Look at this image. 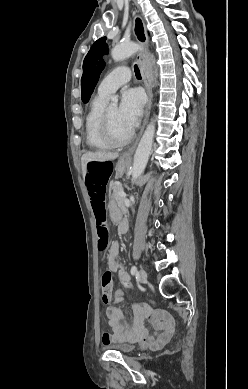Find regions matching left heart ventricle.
<instances>
[{
  "mask_svg": "<svg viewBox=\"0 0 248 389\" xmlns=\"http://www.w3.org/2000/svg\"><path fill=\"white\" fill-rule=\"evenodd\" d=\"M108 112L111 119L112 128L116 136L120 138L125 137L130 132V129H128L127 126L122 122L119 116V108L117 106L109 107Z\"/></svg>",
  "mask_w": 248,
  "mask_h": 389,
  "instance_id": "b2bd125f",
  "label": "left heart ventricle"
}]
</instances>
